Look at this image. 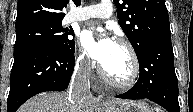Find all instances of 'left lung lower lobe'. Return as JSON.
<instances>
[{
    "label": "left lung lower lobe",
    "instance_id": "left-lung-lower-lobe-1",
    "mask_svg": "<svg viewBox=\"0 0 193 112\" xmlns=\"http://www.w3.org/2000/svg\"><path fill=\"white\" fill-rule=\"evenodd\" d=\"M137 58L140 65L138 81L129 91L116 97L147 98L161 105L168 112H180L171 34L150 42Z\"/></svg>",
    "mask_w": 193,
    "mask_h": 112
}]
</instances>
